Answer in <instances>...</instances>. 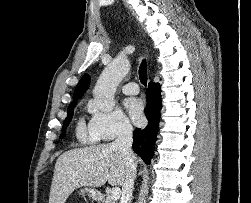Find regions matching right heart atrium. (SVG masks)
<instances>
[{
  "label": "right heart atrium",
  "mask_w": 251,
  "mask_h": 203,
  "mask_svg": "<svg viewBox=\"0 0 251 203\" xmlns=\"http://www.w3.org/2000/svg\"><path fill=\"white\" fill-rule=\"evenodd\" d=\"M89 128L99 139L106 142L132 132L130 121L120 110L102 112L92 108Z\"/></svg>",
  "instance_id": "1"
}]
</instances>
